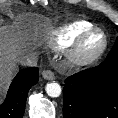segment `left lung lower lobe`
Wrapping results in <instances>:
<instances>
[{"label": "left lung lower lobe", "mask_w": 118, "mask_h": 118, "mask_svg": "<svg viewBox=\"0 0 118 118\" xmlns=\"http://www.w3.org/2000/svg\"><path fill=\"white\" fill-rule=\"evenodd\" d=\"M64 118H118V58L65 80Z\"/></svg>", "instance_id": "obj_1"}]
</instances>
